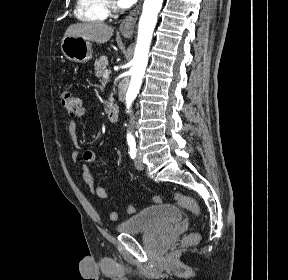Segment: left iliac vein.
Instances as JSON below:
<instances>
[{"instance_id": "obj_1", "label": "left iliac vein", "mask_w": 288, "mask_h": 280, "mask_svg": "<svg viewBox=\"0 0 288 280\" xmlns=\"http://www.w3.org/2000/svg\"><path fill=\"white\" fill-rule=\"evenodd\" d=\"M134 164H135L136 169H138V170H143L144 164L142 163V161L140 160L139 157H137V158L135 159Z\"/></svg>"}]
</instances>
